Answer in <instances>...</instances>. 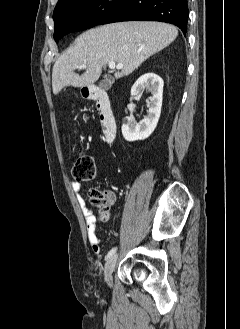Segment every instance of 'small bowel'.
Returning <instances> with one entry per match:
<instances>
[{"label": "small bowel", "mask_w": 240, "mask_h": 329, "mask_svg": "<svg viewBox=\"0 0 240 329\" xmlns=\"http://www.w3.org/2000/svg\"><path fill=\"white\" fill-rule=\"evenodd\" d=\"M71 188L77 196L78 204L83 212L85 223H86V233L91 245L92 251L96 254L100 253L102 248L100 244V239L96 234V223L97 218L94 213L86 206L85 199L81 195L82 185L79 182H72ZM112 201V199H111Z\"/></svg>", "instance_id": "obj_1"}]
</instances>
